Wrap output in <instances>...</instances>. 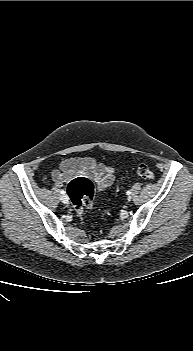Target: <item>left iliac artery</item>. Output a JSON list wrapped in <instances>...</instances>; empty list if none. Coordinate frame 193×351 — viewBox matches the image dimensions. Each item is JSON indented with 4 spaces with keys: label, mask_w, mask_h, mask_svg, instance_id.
Wrapping results in <instances>:
<instances>
[{
    "label": "left iliac artery",
    "mask_w": 193,
    "mask_h": 351,
    "mask_svg": "<svg viewBox=\"0 0 193 351\" xmlns=\"http://www.w3.org/2000/svg\"><path fill=\"white\" fill-rule=\"evenodd\" d=\"M126 194H127V195H130V194H131V191H127Z\"/></svg>",
    "instance_id": "44dca946"
}]
</instances>
